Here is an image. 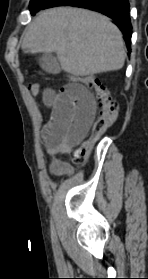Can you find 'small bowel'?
<instances>
[{
	"mask_svg": "<svg viewBox=\"0 0 148 279\" xmlns=\"http://www.w3.org/2000/svg\"><path fill=\"white\" fill-rule=\"evenodd\" d=\"M43 102L49 117L42 127V139L46 151L66 154L86 136L95 115V102L90 91L79 83H68L59 90H45ZM52 175L69 176L72 167L61 161H53Z\"/></svg>",
	"mask_w": 148,
	"mask_h": 279,
	"instance_id": "c3829d8e",
	"label": "small bowel"
}]
</instances>
